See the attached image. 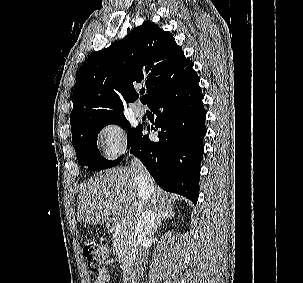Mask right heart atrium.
Wrapping results in <instances>:
<instances>
[{
    "mask_svg": "<svg viewBox=\"0 0 303 283\" xmlns=\"http://www.w3.org/2000/svg\"><path fill=\"white\" fill-rule=\"evenodd\" d=\"M96 143L105 158L116 160L127 148L126 131L116 122H106L97 131Z\"/></svg>",
    "mask_w": 303,
    "mask_h": 283,
    "instance_id": "d8ad5b80",
    "label": "right heart atrium"
}]
</instances>
